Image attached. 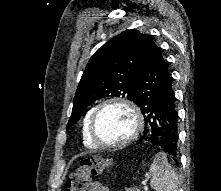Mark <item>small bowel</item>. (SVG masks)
Wrapping results in <instances>:
<instances>
[{"instance_id":"obj_1","label":"small bowel","mask_w":221,"mask_h":191,"mask_svg":"<svg viewBox=\"0 0 221 191\" xmlns=\"http://www.w3.org/2000/svg\"><path fill=\"white\" fill-rule=\"evenodd\" d=\"M89 191H106L103 183L94 181L91 183Z\"/></svg>"}]
</instances>
